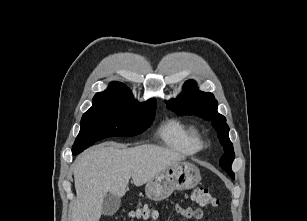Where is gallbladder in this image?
I'll return each mask as SVG.
<instances>
[{
    "label": "gallbladder",
    "mask_w": 307,
    "mask_h": 221,
    "mask_svg": "<svg viewBox=\"0 0 307 221\" xmlns=\"http://www.w3.org/2000/svg\"><path fill=\"white\" fill-rule=\"evenodd\" d=\"M121 205V199L111 193L106 194L102 204V214L106 216L113 215L118 211Z\"/></svg>",
    "instance_id": "1"
}]
</instances>
